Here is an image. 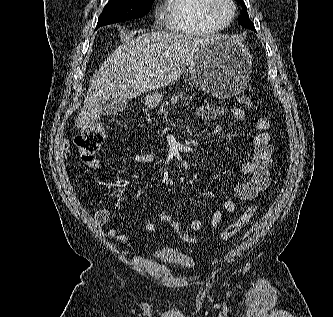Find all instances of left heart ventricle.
<instances>
[{"label": "left heart ventricle", "mask_w": 333, "mask_h": 317, "mask_svg": "<svg viewBox=\"0 0 333 317\" xmlns=\"http://www.w3.org/2000/svg\"><path fill=\"white\" fill-rule=\"evenodd\" d=\"M218 11L222 17H227L230 14L231 9L227 3L221 2L218 6Z\"/></svg>", "instance_id": "left-heart-ventricle-1"}]
</instances>
